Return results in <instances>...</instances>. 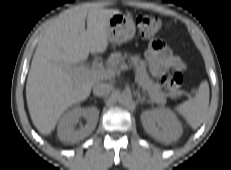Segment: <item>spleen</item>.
Instances as JSON below:
<instances>
[{"instance_id":"1","label":"spleen","mask_w":231,"mask_h":170,"mask_svg":"<svg viewBox=\"0 0 231 170\" xmlns=\"http://www.w3.org/2000/svg\"><path fill=\"white\" fill-rule=\"evenodd\" d=\"M209 106V85L207 81L200 84L194 98L178 105L175 110L193 129L204 121Z\"/></svg>"}]
</instances>
